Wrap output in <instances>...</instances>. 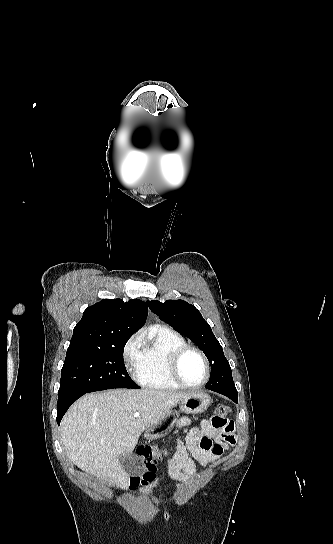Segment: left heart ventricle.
<instances>
[{"label":"left heart ventricle","instance_id":"1","mask_svg":"<svg viewBox=\"0 0 333 544\" xmlns=\"http://www.w3.org/2000/svg\"><path fill=\"white\" fill-rule=\"evenodd\" d=\"M181 375L189 384H199L206 377V367L202 358L194 353H188L181 362Z\"/></svg>","mask_w":333,"mask_h":544}]
</instances>
